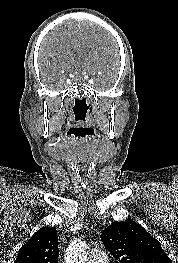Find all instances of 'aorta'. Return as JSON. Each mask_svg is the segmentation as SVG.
Here are the masks:
<instances>
[{"label": "aorta", "instance_id": "762f6f07", "mask_svg": "<svg viewBox=\"0 0 178 263\" xmlns=\"http://www.w3.org/2000/svg\"><path fill=\"white\" fill-rule=\"evenodd\" d=\"M65 263H89L84 241L76 239L70 244L67 249Z\"/></svg>", "mask_w": 178, "mask_h": 263}]
</instances>
